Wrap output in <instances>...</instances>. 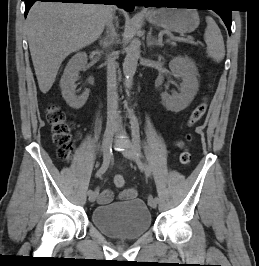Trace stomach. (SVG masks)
I'll return each instance as SVG.
<instances>
[{"label":"stomach","instance_id":"obj_1","mask_svg":"<svg viewBox=\"0 0 259 266\" xmlns=\"http://www.w3.org/2000/svg\"><path fill=\"white\" fill-rule=\"evenodd\" d=\"M147 18L151 24L176 33H190L200 23L198 12L187 8L153 9L148 12Z\"/></svg>","mask_w":259,"mask_h":266}]
</instances>
